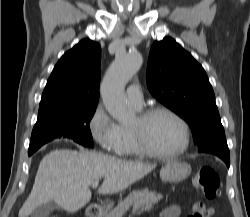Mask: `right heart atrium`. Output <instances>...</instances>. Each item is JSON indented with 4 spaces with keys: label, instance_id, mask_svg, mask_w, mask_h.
<instances>
[{
    "label": "right heart atrium",
    "instance_id": "1",
    "mask_svg": "<svg viewBox=\"0 0 250 217\" xmlns=\"http://www.w3.org/2000/svg\"><path fill=\"white\" fill-rule=\"evenodd\" d=\"M92 139L106 152L119 154L122 147L120 126L110 117L102 104H98L87 123Z\"/></svg>",
    "mask_w": 250,
    "mask_h": 217
}]
</instances>
